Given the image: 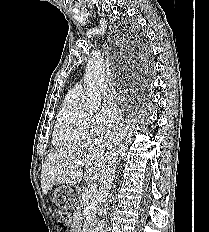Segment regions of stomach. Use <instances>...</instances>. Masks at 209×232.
<instances>
[{
    "instance_id": "1",
    "label": "stomach",
    "mask_w": 209,
    "mask_h": 232,
    "mask_svg": "<svg viewBox=\"0 0 209 232\" xmlns=\"http://www.w3.org/2000/svg\"><path fill=\"white\" fill-rule=\"evenodd\" d=\"M83 186H60L56 189L53 203L58 204L59 211H70L71 208L78 206Z\"/></svg>"
}]
</instances>
